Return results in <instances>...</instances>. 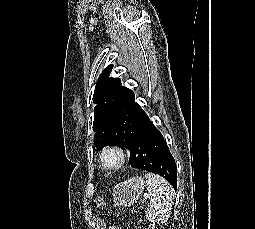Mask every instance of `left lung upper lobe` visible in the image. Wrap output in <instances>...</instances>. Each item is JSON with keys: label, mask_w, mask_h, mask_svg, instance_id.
Masks as SVG:
<instances>
[{"label": "left lung upper lobe", "mask_w": 255, "mask_h": 229, "mask_svg": "<svg viewBox=\"0 0 255 229\" xmlns=\"http://www.w3.org/2000/svg\"><path fill=\"white\" fill-rule=\"evenodd\" d=\"M113 65L107 66L101 73L95 86L93 130L94 145L97 149L105 146L129 147V138L112 121L115 110L124 101L130 89L121 86L119 78H109Z\"/></svg>", "instance_id": "1"}]
</instances>
